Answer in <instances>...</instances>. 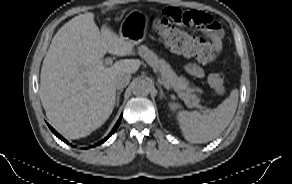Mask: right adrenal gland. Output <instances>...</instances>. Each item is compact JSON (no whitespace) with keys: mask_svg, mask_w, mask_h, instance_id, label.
<instances>
[{"mask_svg":"<svg viewBox=\"0 0 292 184\" xmlns=\"http://www.w3.org/2000/svg\"><path fill=\"white\" fill-rule=\"evenodd\" d=\"M122 92H123V89H120L117 92V97H116V105H117V107L119 106L120 95H121Z\"/></svg>","mask_w":292,"mask_h":184,"instance_id":"right-adrenal-gland-1","label":"right adrenal gland"}]
</instances>
